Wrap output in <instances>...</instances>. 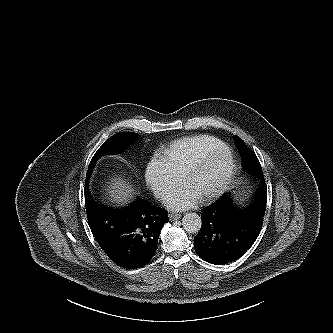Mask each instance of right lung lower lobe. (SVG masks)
<instances>
[{"instance_id":"right-lung-lower-lobe-1","label":"right lung lower lobe","mask_w":333,"mask_h":333,"mask_svg":"<svg viewBox=\"0 0 333 333\" xmlns=\"http://www.w3.org/2000/svg\"><path fill=\"white\" fill-rule=\"evenodd\" d=\"M85 207L90 229L107 256L117 265L136 269L146 265L157 250L166 210L141 198L123 207L97 204L85 182Z\"/></svg>"}]
</instances>
